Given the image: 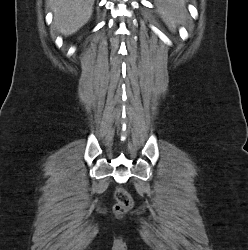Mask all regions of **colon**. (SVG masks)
<instances>
[{"mask_svg": "<svg viewBox=\"0 0 248 250\" xmlns=\"http://www.w3.org/2000/svg\"><path fill=\"white\" fill-rule=\"evenodd\" d=\"M115 199H116V204L114 206V212L117 215H123L127 213L133 206L132 197L122 187L116 189Z\"/></svg>", "mask_w": 248, "mask_h": 250, "instance_id": "obj_1", "label": "colon"}]
</instances>
